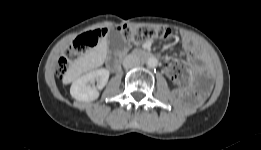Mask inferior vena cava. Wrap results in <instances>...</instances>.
<instances>
[{"instance_id": "1", "label": "inferior vena cava", "mask_w": 261, "mask_h": 150, "mask_svg": "<svg viewBox=\"0 0 261 150\" xmlns=\"http://www.w3.org/2000/svg\"><path fill=\"white\" fill-rule=\"evenodd\" d=\"M140 65V60L134 54L127 55L123 60V66L125 69H130Z\"/></svg>"}]
</instances>
